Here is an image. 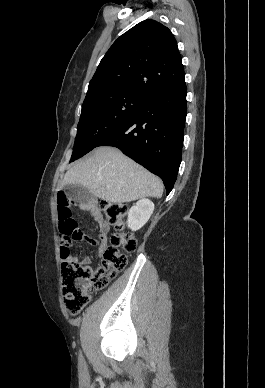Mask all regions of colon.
<instances>
[{
	"label": "colon",
	"instance_id": "obj_1",
	"mask_svg": "<svg viewBox=\"0 0 265 388\" xmlns=\"http://www.w3.org/2000/svg\"><path fill=\"white\" fill-rule=\"evenodd\" d=\"M71 203L66 194L57 196V209L60 231V257L62 275V294L66 310L78 314L90 301L91 292L107 286L109 281L127 264V255L134 251L136 241L132 234L125 231L127 207L109 201L101 202L102 211L107 221L116 229L111 244L103 252L101 266L93 269L82 265L70 257L72 240L84 239L85 235L78 229L72 217ZM122 247L124 252L119 250Z\"/></svg>",
	"mask_w": 265,
	"mask_h": 388
}]
</instances>
